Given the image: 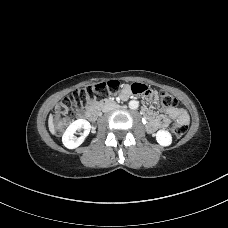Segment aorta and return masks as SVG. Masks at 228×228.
I'll return each instance as SVG.
<instances>
[{
	"label": "aorta",
	"mask_w": 228,
	"mask_h": 228,
	"mask_svg": "<svg viewBox=\"0 0 228 228\" xmlns=\"http://www.w3.org/2000/svg\"><path fill=\"white\" fill-rule=\"evenodd\" d=\"M128 105L130 109L135 110L138 108L139 102L136 100H131Z\"/></svg>",
	"instance_id": "1"
}]
</instances>
